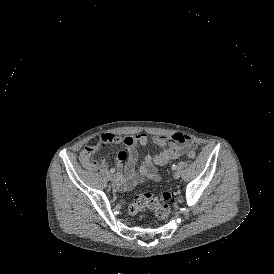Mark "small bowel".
Wrapping results in <instances>:
<instances>
[{
	"mask_svg": "<svg viewBox=\"0 0 274 274\" xmlns=\"http://www.w3.org/2000/svg\"><path fill=\"white\" fill-rule=\"evenodd\" d=\"M173 143L170 144L169 149L167 145L169 138L161 135L154 136L152 142L165 151L153 156L148 154L143 160V164L138 171V153L136 150L137 145L146 146L150 143V139L145 133H138L134 136L117 137L113 134H105L101 137L100 144H121L126 150L120 151L117 154V170L114 178V187L118 190H130L139 181L143 179H151L158 181L160 176L158 174V167L168 163L171 159L179 160L182 158L183 151L186 148L195 149L196 144L189 139L186 135L175 134L172 137ZM80 162L87 169L106 168L107 162L101 157H95L94 152L87 148L83 149L80 153Z\"/></svg>",
	"mask_w": 274,
	"mask_h": 274,
	"instance_id": "c3829d8e",
	"label": "small bowel"
}]
</instances>
